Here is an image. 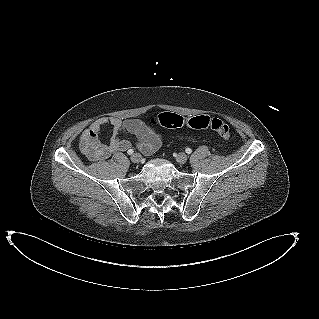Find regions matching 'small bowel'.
<instances>
[{"label":"small bowel","instance_id":"small-bowel-1","mask_svg":"<svg viewBox=\"0 0 319 319\" xmlns=\"http://www.w3.org/2000/svg\"><path fill=\"white\" fill-rule=\"evenodd\" d=\"M105 126H110L112 134L107 144L99 139V134ZM133 135L137 142L136 147L144 155H151L157 151L164 137L146 122L140 119H125L118 117H99L84 130L80 137V149L93 162L105 161L115 153L130 150L133 143L120 135Z\"/></svg>","mask_w":319,"mask_h":319}]
</instances>
